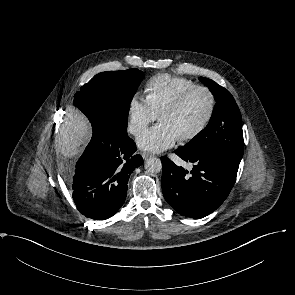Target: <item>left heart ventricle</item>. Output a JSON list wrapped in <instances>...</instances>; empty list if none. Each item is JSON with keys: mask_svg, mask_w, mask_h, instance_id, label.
<instances>
[{"mask_svg": "<svg viewBox=\"0 0 295 295\" xmlns=\"http://www.w3.org/2000/svg\"><path fill=\"white\" fill-rule=\"evenodd\" d=\"M209 105L208 95L204 91H196L178 112L163 116L160 123L169 126L180 138L190 134L201 124L208 113Z\"/></svg>", "mask_w": 295, "mask_h": 295, "instance_id": "1", "label": "left heart ventricle"}]
</instances>
